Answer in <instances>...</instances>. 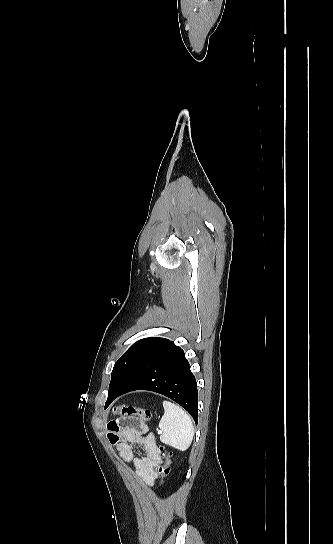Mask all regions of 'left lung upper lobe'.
Listing matches in <instances>:
<instances>
[{
	"instance_id": "obj_1",
	"label": "left lung upper lobe",
	"mask_w": 333,
	"mask_h": 544,
	"mask_svg": "<svg viewBox=\"0 0 333 544\" xmlns=\"http://www.w3.org/2000/svg\"><path fill=\"white\" fill-rule=\"evenodd\" d=\"M169 342L164 338H146L137 341L115 363L109 393L121 390L142 366Z\"/></svg>"
}]
</instances>
